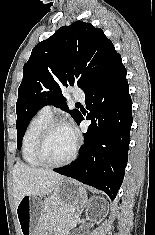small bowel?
Masks as SVG:
<instances>
[{"label":"small bowel","mask_w":155,"mask_h":235,"mask_svg":"<svg viewBox=\"0 0 155 235\" xmlns=\"http://www.w3.org/2000/svg\"><path fill=\"white\" fill-rule=\"evenodd\" d=\"M60 235H65V233H61Z\"/></svg>","instance_id":"c3829d8e"}]
</instances>
